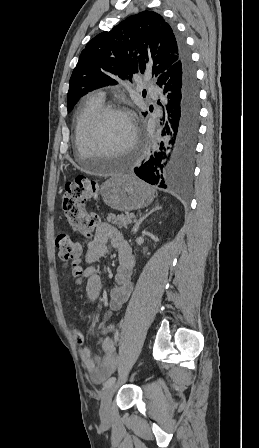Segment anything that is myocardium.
Segmentation results:
<instances>
[{
    "instance_id": "f54148a6",
    "label": "myocardium",
    "mask_w": 259,
    "mask_h": 448,
    "mask_svg": "<svg viewBox=\"0 0 259 448\" xmlns=\"http://www.w3.org/2000/svg\"><path fill=\"white\" fill-rule=\"evenodd\" d=\"M110 115H120L128 120L132 127V138L129 146L121 151V153L131 150L137 143V128L132 121L129 113L123 105L119 104H109L103 105L99 111L86 123L82 132V144L84 149H103L97 145L95 141V133L100 125V123ZM78 163H83V152L79 151ZM90 171V170H87Z\"/></svg>"
}]
</instances>
